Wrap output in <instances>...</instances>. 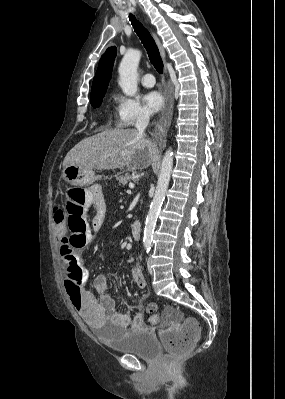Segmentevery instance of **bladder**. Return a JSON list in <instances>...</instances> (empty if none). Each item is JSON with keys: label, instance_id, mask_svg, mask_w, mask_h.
<instances>
[{"label": "bladder", "instance_id": "bladder-1", "mask_svg": "<svg viewBox=\"0 0 285 399\" xmlns=\"http://www.w3.org/2000/svg\"><path fill=\"white\" fill-rule=\"evenodd\" d=\"M98 335H106L99 324H91ZM104 343L117 352L130 354L144 360H155L159 356V343L154 335L146 330H130L127 335L111 336Z\"/></svg>", "mask_w": 285, "mask_h": 399}]
</instances>
